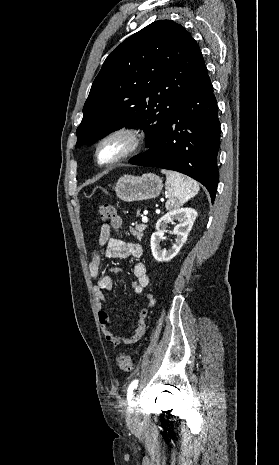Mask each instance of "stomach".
Wrapping results in <instances>:
<instances>
[{"label": "stomach", "mask_w": 279, "mask_h": 465, "mask_svg": "<svg viewBox=\"0 0 279 465\" xmlns=\"http://www.w3.org/2000/svg\"><path fill=\"white\" fill-rule=\"evenodd\" d=\"M163 188L160 177L153 173L142 176L123 175L114 187L118 198L133 202L156 198Z\"/></svg>", "instance_id": "stomach-1"}]
</instances>
